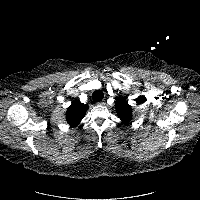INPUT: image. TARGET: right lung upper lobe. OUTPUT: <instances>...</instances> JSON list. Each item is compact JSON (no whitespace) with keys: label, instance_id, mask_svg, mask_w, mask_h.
<instances>
[{"label":"right lung upper lobe","instance_id":"cb5924a9","mask_svg":"<svg viewBox=\"0 0 200 200\" xmlns=\"http://www.w3.org/2000/svg\"><path fill=\"white\" fill-rule=\"evenodd\" d=\"M87 109L88 105H84L80 101H74L66 112L67 123L72 127L78 125L85 116Z\"/></svg>","mask_w":200,"mask_h":200}]
</instances>
